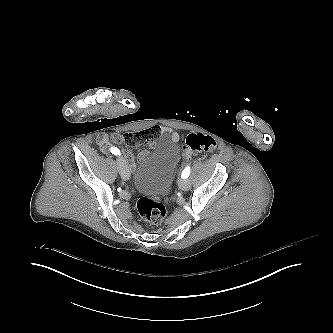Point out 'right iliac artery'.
Listing matches in <instances>:
<instances>
[{
	"label": "right iliac artery",
	"mask_w": 333,
	"mask_h": 333,
	"mask_svg": "<svg viewBox=\"0 0 333 333\" xmlns=\"http://www.w3.org/2000/svg\"><path fill=\"white\" fill-rule=\"evenodd\" d=\"M111 152L113 153V154H115V155H120V151H119V149L118 148H116V147H114V148H111Z\"/></svg>",
	"instance_id": "right-iliac-artery-1"
}]
</instances>
